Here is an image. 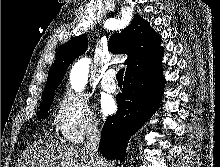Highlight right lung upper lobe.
<instances>
[{"mask_svg": "<svg viewBox=\"0 0 220 167\" xmlns=\"http://www.w3.org/2000/svg\"><path fill=\"white\" fill-rule=\"evenodd\" d=\"M109 50L113 54H128L125 61L126 74L144 67L161 63L163 47L160 46L159 35L141 16L134 15L130 25L120 33L112 34L109 40ZM87 48L86 35L77 36L64 45L57 53L51 66L45 89L42 95L46 99L54 95L55 89L62 81L67 67Z\"/></svg>", "mask_w": 220, "mask_h": 167, "instance_id": "obj_1", "label": "right lung upper lobe"}]
</instances>
